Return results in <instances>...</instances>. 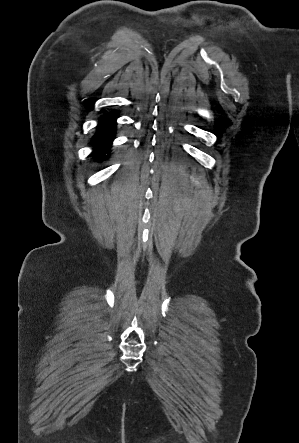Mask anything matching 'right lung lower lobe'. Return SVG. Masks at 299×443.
Masks as SVG:
<instances>
[{
	"label": "right lung lower lobe",
	"mask_w": 299,
	"mask_h": 443,
	"mask_svg": "<svg viewBox=\"0 0 299 443\" xmlns=\"http://www.w3.org/2000/svg\"><path fill=\"white\" fill-rule=\"evenodd\" d=\"M116 116L113 113L101 117L97 127V134L94 137L95 150L94 154L98 159L104 158L113 141L115 133Z\"/></svg>",
	"instance_id": "right-lung-lower-lobe-1"
}]
</instances>
